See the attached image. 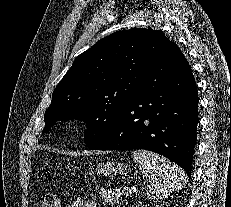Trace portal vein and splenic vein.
Here are the masks:
<instances>
[{
    "label": "portal vein and splenic vein",
    "instance_id": "obj_1",
    "mask_svg": "<svg viewBox=\"0 0 231 207\" xmlns=\"http://www.w3.org/2000/svg\"><path fill=\"white\" fill-rule=\"evenodd\" d=\"M136 190V187H132L131 189H127L125 190V194L128 195V194H131L133 191Z\"/></svg>",
    "mask_w": 231,
    "mask_h": 207
}]
</instances>
